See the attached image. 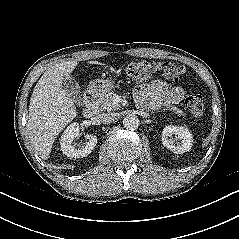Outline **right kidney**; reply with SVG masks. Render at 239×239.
Returning a JSON list of instances; mask_svg holds the SVG:
<instances>
[{"mask_svg":"<svg viewBox=\"0 0 239 239\" xmlns=\"http://www.w3.org/2000/svg\"><path fill=\"white\" fill-rule=\"evenodd\" d=\"M79 124L74 122L71 123L66 130L63 132L61 136V150L63 154L71 158H82L89 155L92 150L95 148L97 144V137L92 134L86 135L88 142L86 143L85 147L82 149H76L74 145H72L73 140L79 136Z\"/></svg>","mask_w":239,"mask_h":239,"instance_id":"ca27d5eb","label":"right kidney"}]
</instances>
